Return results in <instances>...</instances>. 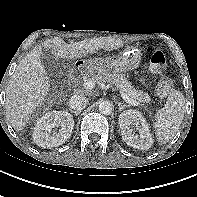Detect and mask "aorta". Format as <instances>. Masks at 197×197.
Segmentation results:
<instances>
[{"label":"aorta","instance_id":"1","mask_svg":"<svg viewBox=\"0 0 197 197\" xmlns=\"http://www.w3.org/2000/svg\"><path fill=\"white\" fill-rule=\"evenodd\" d=\"M98 108L100 113L104 115H110L113 111L112 103L107 100L101 101L98 105Z\"/></svg>","mask_w":197,"mask_h":197}]
</instances>
